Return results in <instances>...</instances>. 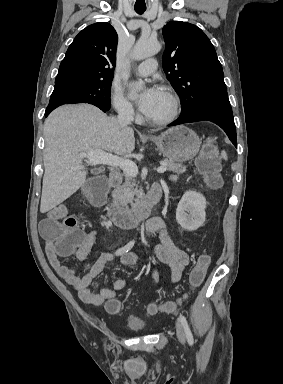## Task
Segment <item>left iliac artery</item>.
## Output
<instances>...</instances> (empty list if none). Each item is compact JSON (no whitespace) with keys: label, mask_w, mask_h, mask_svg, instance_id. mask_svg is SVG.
Returning a JSON list of instances; mask_svg holds the SVG:
<instances>
[{"label":"left iliac artery","mask_w":283,"mask_h":384,"mask_svg":"<svg viewBox=\"0 0 283 384\" xmlns=\"http://www.w3.org/2000/svg\"><path fill=\"white\" fill-rule=\"evenodd\" d=\"M179 320H180V322H181V324H182V326H183V328L185 330L187 341H188L189 345L192 346L194 344V339H193L192 332L190 330V327H189V325L187 323V320H186L185 316L180 314L179 315Z\"/></svg>","instance_id":"obj_1"}]
</instances>
